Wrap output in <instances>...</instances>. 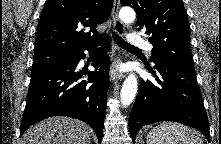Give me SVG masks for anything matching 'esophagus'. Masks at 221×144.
Instances as JSON below:
<instances>
[{"label": "esophagus", "mask_w": 221, "mask_h": 144, "mask_svg": "<svg viewBox=\"0 0 221 144\" xmlns=\"http://www.w3.org/2000/svg\"><path fill=\"white\" fill-rule=\"evenodd\" d=\"M119 6L120 0L113 1V8H112V19L114 23V31L118 34L123 36L125 34V26L119 19ZM121 61L120 57H117L111 67L110 70V78L111 80H121L124 78V73L118 69V64Z\"/></svg>", "instance_id": "34e87169"}]
</instances>
